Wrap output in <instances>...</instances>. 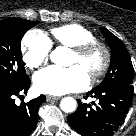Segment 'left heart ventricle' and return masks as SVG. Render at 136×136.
Masks as SVG:
<instances>
[{"instance_id": "b2bd125f", "label": "left heart ventricle", "mask_w": 136, "mask_h": 136, "mask_svg": "<svg viewBox=\"0 0 136 136\" xmlns=\"http://www.w3.org/2000/svg\"><path fill=\"white\" fill-rule=\"evenodd\" d=\"M103 60V54L101 50L96 49L91 51L89 54H87L83 58H79L76 54L72 52L71 58H70V65H78L80 66L86 74L89 76V74L99 67Z\"/></svg>"}]
</instances>
